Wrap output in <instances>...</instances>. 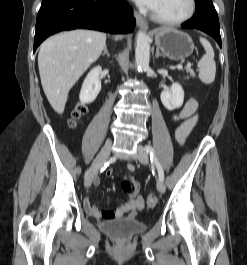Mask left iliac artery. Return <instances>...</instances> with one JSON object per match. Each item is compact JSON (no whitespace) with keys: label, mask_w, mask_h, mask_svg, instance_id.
Here are the masks:
<instances>
[{"label":"left iliac artery","mask_w":247,"mask_h":265,"mask_svg":"<svg viewBox=\"0 0 247 265\" xmlns=\"http://www.w3.org/2000/svg\"><path fill=\"white\" fill-rule=\"evenodd\" d=\"M145 150L149 153L150 155V160H151V163L155 164L156 167H157V170H158V175H159V179L161 181L164 180V171H163V168L161 166V164L159 163L156 155H155V151H154V148L151 146V145H146L145 146Z\"/></svg>","instance_id":"left-iliac-artery-1"}]
</instances>
